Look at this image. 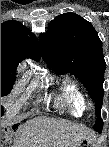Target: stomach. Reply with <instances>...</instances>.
<instances>
[{
  "label": "stomach",
  "instance_id": "stomach-1",
  "mask_svg": "<svg viewBox=\"0 0 109 147\" xmlns=\"http://www.w3.org/2000/svg\"><path fill=\"white\" fill-rule=\"evenodd\" d=\"M77 147H96V144L92 140H89V139H81L79 141Z\"/></svg>",
  "mask_w": 109,
  "mask_h": 147
}]
</instances>
